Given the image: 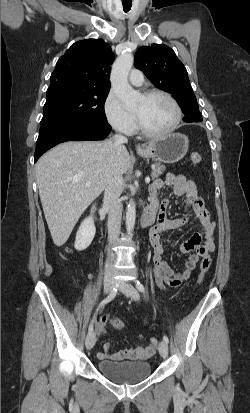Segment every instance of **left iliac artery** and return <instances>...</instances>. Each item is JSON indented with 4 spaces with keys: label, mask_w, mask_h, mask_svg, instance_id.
Instances as JSON below:
<instances>
[{
    "label": "left iliac artery",
    "mask_w": 250,
    "mask_h": 413,
    "mask_svg": "<svg viewBox=\"0 0 250 413\" xmlns=\"http://www.w3.org/2000/svg\"><path fill=\"white\" fill-rule=\"evenodd\" d=\"M135 285H136V288H137L140 292H142V293L145 292V288H144V286H143V284H142L141 282H139V281L137 280V281L135 282ZM163 340H164L166 343L169 342V339H168V337H167L166 335L163 336Z\"/></svg>",
    "instance_id": "44dca946"
}]
</instances>
